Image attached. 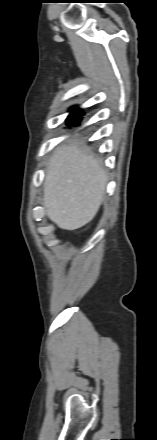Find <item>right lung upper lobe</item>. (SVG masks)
<instances>
[{"label":"right lung upper lobe","instance_id":"cb5924a9","mask_svg":"<svg viewBox=\"0 0 157 440\" xmlns=\"http://www.w3.org/2000/svg\"><path fill=\"white\" fill-rule=\"evenodd\" d=\"M71 111V115L68 117L67 121H75L79 124L82 114H79V110L72 109Z\"/></svg>","mask_w":157,"mask_h":440}]
</instances>
